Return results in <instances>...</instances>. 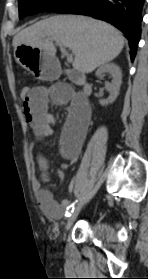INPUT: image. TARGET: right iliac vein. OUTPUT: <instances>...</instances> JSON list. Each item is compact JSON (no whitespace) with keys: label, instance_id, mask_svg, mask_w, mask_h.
<instances>
[{"label":"right iliac vein","instance_id":"1","mask_svg":"<svg viewBox=\"0 0 148 279\" xmlns=\"http://www.w3.org/2000/svg\"><path fill=\"white\" fill-rule=\"evenodd\" d=\"M85 201L81 200L76 207L74 208L73 212L71 213L70 217L67 220L65 231H68L71 226L73 225L74 221L76 220L79 212L81 211L82 207L84 206Z\"/></svg>","mask_w":148,"mask_h":279}]
</instances>
